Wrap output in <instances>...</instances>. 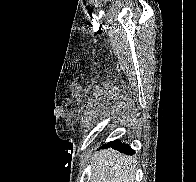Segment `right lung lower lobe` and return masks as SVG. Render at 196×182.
I'll return each mask as SVG.
<instances>
[{"label": "right lung lower lobe", "mask_w": 196, "mask_h": 182, "mask_svg": "<svg viewBox=\"0 0 196 182\" xmlns=\"http://www.w3.org/2000/svg\"><path fill=\"white\" fill-rule=\"evenodd\" d=\"M103 147H113L125 154H134V150L127 144L121 143L119 140H114L103 145Z\"/></svg>", "instance_id": "right-lung-lower-lobe-1"}]
</instances>
